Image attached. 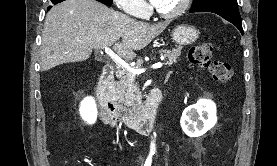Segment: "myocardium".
<instances>
[{
  "mask_svg": "<svg viewBox=\"0 0 277 166\" xmlns=\"http://www.w3.org/2000/svg\"><path fill=\"white\" fill-rule=\"evenodd\" d=\"M191 0H182L180 6L171 12H162L157 7L154 8V12L161 18L174 19L182 15L190 5Z\"/></svg>",
  "mask_w": 277,
  "mask_h": 166,
  "instance_id": "myocardium-1",
  "label": "myocardium"
}]
</instances>
